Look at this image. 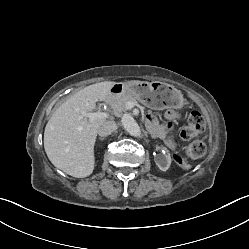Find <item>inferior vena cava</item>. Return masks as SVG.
I'll return each mask as SVG.
<instances>
[{"instance_id": "1", "label": "inferior vena cava", "mask_w": 249, "mask_h": 249, "mask_svg": "<svg viewBox=\"0 0 249 249\" xmlns=\"http://www.w3.org/2000/svg\"><path fill=\"white\" fill-rule=\"evenodd\" d=\"M117 130V124L112 121H104L98 128V135L101 137H106Z\"/></svg>"}]
</instances>
